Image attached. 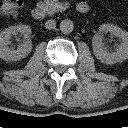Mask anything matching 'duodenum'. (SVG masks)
Wrapping results in <instances>:
<instances>
[{
	"mask_svg": "<svg viewBox=\"0 0 128 128\" xmlns=\"http://www.w3.org/2000/svg\"><path fill=\"white\" fill-rule=\"evenodd\" d=\"M76 9L79 13H87L89 11V6L86 2H80L77 4ZM33 18L37 20H42L46 17V10L43 6L37 5L32 9L31 12Z\"/></svg>",
	"mask_w": 128,
	"mask_h": 128,
	"instance_id": "410a0bca",
	"label": "duodenum"
}]
</instances>
